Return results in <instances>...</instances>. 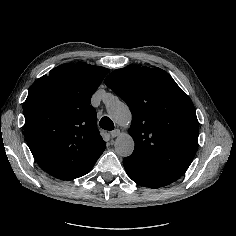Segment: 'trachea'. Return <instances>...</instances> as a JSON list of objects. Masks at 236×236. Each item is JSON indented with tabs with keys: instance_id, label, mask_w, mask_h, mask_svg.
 <instances>
[{
	"instance_id": "1",
	"label": "trachea",
	"mask_w": 236,
	"mask_h": 236,
	"mask_svg": "<svg viewBox=\"0 0 236 236\" xmlns=\"http://www.w3.org/2000/svg\"><path fill=\"white\" fill-rule=\"evenodd\" d=\"M99 125L104 130H113L114 124L113 121L109 117H102V119L99 122Z\"/></svg>"
}]
</instances>
